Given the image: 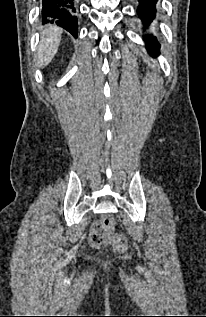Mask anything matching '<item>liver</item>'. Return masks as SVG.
Returning a JSON list of instances; mask_svg holds the SVG:
<instances>
[{
	"mask_svg": "<svg viewBox=\"0 0 206 317\" xmlns=\"http://www.w3.org/2000/svg\"><path fill=\"white\" fill-rule=\"evenodd\" d=\"M62 29L55 25H48L43 31L38 47L37 65L42 68L50 63L58 51Z\"/></svg>",
	"mask_w": 206,
	"mask_h": 317,
	"instance_id": "obj_1",
	"label": "liver"
}]
</instances>
